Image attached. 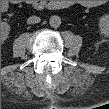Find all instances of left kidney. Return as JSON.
I'll list each match as a JSON object with an SVG mask.
<instances>
[{
  "mask_svg": "<svg viewBox=\"0 0 109 109\" xmlns=\"http://www.w3.org/2000/svg\"><path fill=\"white\" fill-rule=\"evenodd\" d=\"M100 27H101V31L103 32L104 30H107L108 28V19L107 18H101L100 19Z\"/></svg>",
  "mask_w": 109,
  "mask_h": 109,
  "instance_id": "left-kidney-1",
  "label": "left kidney"
}]
</instances>
